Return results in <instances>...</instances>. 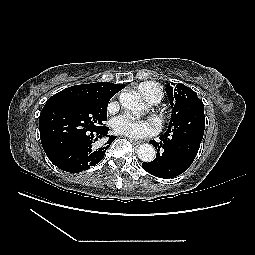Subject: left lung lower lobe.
Returning a JSON list of instances; mask_svg holds the SVG:
<instances>
[{
    "label": "left lung lower lobe",
    "mask_w": 255,
    "mask_h": 255,
    "mask_svg": "<svg viewBox=\"0 0 255 255\" xmlns=\"http://www.w3.org/2000/svg\"><path fill=\"white\" fill-rule=\"evenodd\" d=\"M204 110L189 124L168 127L160 142L151 140L157 149L156 158L142 163L148 173L159 178H173L185 172L194 161L204 135Z\"/></svg>",
    "instance_id": "0a47b994"
}]
</instances>
